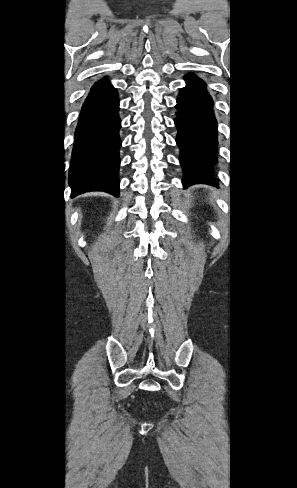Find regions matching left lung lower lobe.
<instances>
[{
  "instance_id": "0a47b994",
  "label": "left lung lower lobe",
  "mask_w": 297,
  "mask_h": 488,
  "mask_svg": "<svg viewBox=\"0 0 297 488\" xmlns=\"http://www.w3.org/2000/svg\"><path fill=\"white\" fill-rule=\"evenodd\" d=\"M185 80L187 85L179 92L174 120L184 171L183 185H215L218 180L212 176V166L217 162V123L213 100L204 81L194 73L187 74Z\"/></svg>"
}]
</instances>
